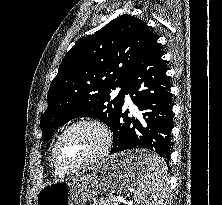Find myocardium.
Segmentation results:
<instances>
[{
    "mask_svg": "<svg viewBox=\"0 0 222 205\" xmlns=\"http://www.w3.org/2000/svg\"><path fill=\"white\" fill-rule=\"evenodd\" d=\"M78 126H91V127L96 128L102 134L103 143L101 145V148L94 155H92L91 157H89L88 159L84 160L81 163L69 166V165L64 164L60 160L58 156V148L62 139L65 137V135ZM111 143H112L111 132L103 122L96 119H90V118L79 119V120L74 121L70 125H68L57 137L54 143L53 149H52V159L54 163L56 164V166L59 167L64 172H67V173L74 172L77 170L87 168L99 162L101 159H103L107 155L111 147Z\"/></svg>",
    "mask_w": 222,
    "mask_h": 205,
    "instance_id": "f54148a6",
    "label": "myocardium"
}]
</instances>
